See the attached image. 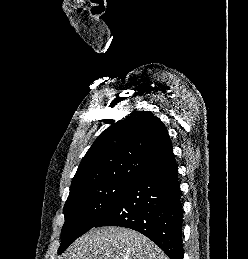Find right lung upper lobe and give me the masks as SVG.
Instances as JSON below:
<instances>
[{
  "label": "right lung upper lobe",
  "mask_w": 248,
  "mask_h": 259,
  "mask_svg": "<svg viewBox=\"0 0 248 259\" xmlns=\"http://www.w3.org/2000/svg\"><path fill=\"white\" fill-rule=\"evenodd\" d=\"M175 162L168 131L149 111L112 124L83 157L70 190L111 180L134 182Z\"/></svg>",
  "instance_id": "1"
}]
</instances>
